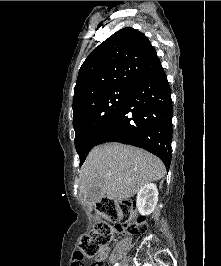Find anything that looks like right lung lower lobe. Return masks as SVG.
Returning <instances> with one entry per match:
<instances>
[{"label":"right lung lower lobe","mask_w":221,"mask_h":266,"mask_svg":"<svg viewBox=\"0 0 221 266\" xmlns=\"http://www.w3.org/2000/svg\"><path fill=\"white\" fill-rule=\"evenodd\" d=\"M172 116L171 88L160 65L133 85L122 111L96 145L119 142L143 148L158 156L169 170Z\"/></svg>","instance_id":"1"}]
</instances>
